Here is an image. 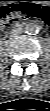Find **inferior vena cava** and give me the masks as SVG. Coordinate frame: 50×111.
<instances>
[{
    "label": "inferior vena cava",
    "mask_w": 50,
    "mask_h": 111,
    "mask_svg": "<svg viewBox=\"0 0 50 111\" xmlns=\"http://www.w3.org/2000/svg\"><path fill=\"white\" fill-rule=\"evenodd\" d=\"M23 33V29L22 28H13L11 31H10V35L11 36H16V35H19Z\"/></svg>",
    "instance_id": "obj_1"
}]
</instances>
